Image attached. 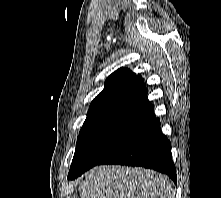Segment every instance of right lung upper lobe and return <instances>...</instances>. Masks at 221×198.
<instances>
[{
  "instance_id": "cb5924a9",
  "label": "right lung upper lobe",
  "mask_w": 221,
  "mask_h": 198,
  "mask_svg": "<svg viewBox=\"0 0 221 198\" xmlns=\"http://www.w3.org/2000/svg\"><path fill=\"white\" fill-rule=\"evenodd\" d=\"M154 116L141 76L120 68L105 82L104 90L92 101L83 124L104 120H127L144 123Z\"/></svg>"
}]
</instances>
